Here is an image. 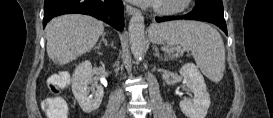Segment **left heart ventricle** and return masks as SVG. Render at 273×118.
Listing matches in <instances>:
<instances>
[{"label": "left heart ventricle", "instance_id": "b2bd125f", "mask_svg": "<svg viewBox=\"0 0 273 118\" xmlns=\"http://www.w3.org/2000/svg\"><path fill=\"white\" fill-rule=\"evenodd\" d=\"M176 0H167L166 2H168V3H173V2H175Z\"/></svg>", "mask_w": 273, "mask_h": 118}]
</instances>
